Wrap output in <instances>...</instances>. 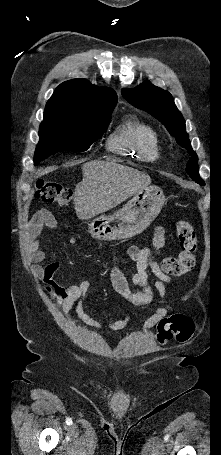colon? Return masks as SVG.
Returning <instances> with one entry per match:
<instances>
[{"mask_svg":"<svg viewBox=\"0 0 221 455\" xmlns=\"http://www.w3.org/2000/svg\"><path fill=\"white\" fill-rule=\"evenodd\" d=\"M36 199L46 204L67 206L73 198L72 190L50 180H38ZM177 236L181 252L177 257H165L159 262L160 269L168 276L178 277L189 272L195 265L198 238L194 227L188 221L178 222ZM194 323L186 315L175 314L161 319L157 325V340L165 344L173 339L188 342L194 333Z\"/></svg>","mask_w":221,"mask_h":455,"instance_id":"colon-1","label":"colon"}]
</instances>
